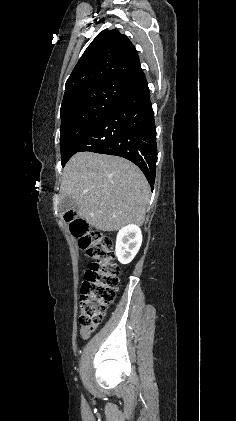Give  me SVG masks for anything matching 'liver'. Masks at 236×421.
Instances as JSON below:
<instances>
[{"mask_svg":"<svg viewBox=\"0 0 236 421\" xmlns=\"http://www.w3.org/2000/svg\"><path fill=\"white\" fill-rule=\"evenodd\" d=\"M61 196H72L78 215L98 231L145 221L150 186L140 168L122 156L76 152L64 166Z\"/></svg>","mask_w":236,"mask_h":421,"instance_id":"obj_1","label":"liver"}]
</instances>
